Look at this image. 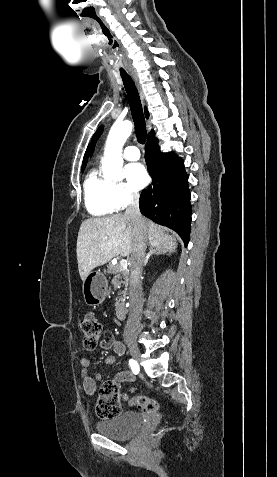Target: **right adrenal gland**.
Here are the masks:
<instances>
[{"label":"right adrenal gland","instance_id":"1","mask_svg":"<svg viewBox=\"0 0 277 477\" xmlns=\"http://www.w3.org/2000/svg\"><path fill=\"white\" fill-rule=\"evenodd\" d=\"M163 252H165V250H164V249H160V250H153V249H150V250H149V253H148V254H147V256H146V259H145L144 265H146V264L148 263V260L151 258V256H153V254H156V255H158V254H161V253H163Z\"/></svg>","mask_w":277,"mask_h":477}]
</instances>
